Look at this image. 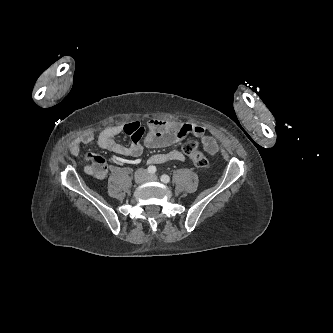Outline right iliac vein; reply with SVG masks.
I'll list each match as a JSON object with an SVG mask.
<instances>
[{"mask_svg":"<svg viewBox=\"0 0 333 333\" xmlns=\"http://www.w3.org/2000/svg\"><path fill=\"white\" fill-rule=\"evenodd\" d=\"M146 173L144 171H139L135 175V181L137 183H142L145 180Z\"/></svg>","mask_w":333,"mask_h":333,"instance_id":"1","label":"right iliac vein"}]
</instances>
